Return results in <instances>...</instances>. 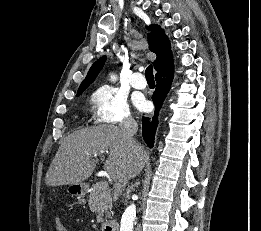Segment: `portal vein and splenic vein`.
Masks as SVG:
<instances>
[{
  "label": "portal vein and splenic vein",
  "mask_w": 261,
  "mask_h": 231,
  "mask_svg": "<svg viewBox=\"0 0 261 231\" xmlns=\"http://www.w3.org/2000/svg\"><path fill=\"white\" fill-rule=\"evenodd\" d=\"M101 152L103 153V151ZM99 184H100V188H102L103 190L108 189V182L106 180L101 181Z\"/></svg>",
  "instance_id": "portal-vein-and-splenic-vein-1"
}]
</instances>
